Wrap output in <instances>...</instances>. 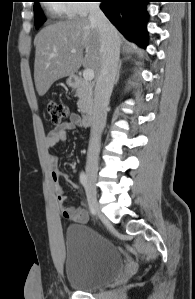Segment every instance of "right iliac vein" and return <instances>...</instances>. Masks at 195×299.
Here are the masks:
<instances>
[{
	"label": "right iliac vein",
	"mask_w": 195,
	"mask_h": 299,
	"mask_svg": "<svg viewBox=\"0 0 195 299\" xmlns=\"http://www.w3.org/2000/svg\"><path fill=\"white\" fill-rule=\"evenodd\" d=\"M87 174V197L89 203L92 205L93 208L98 207L97 203V190H96V180H97V173H96V166L88 165L86 168Z\"/></svg>",
	"instance_id": "63e3f726"
}]
</instances>
